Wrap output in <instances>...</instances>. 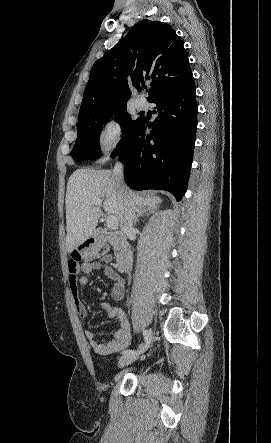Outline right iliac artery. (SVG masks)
Listing matches in <instances>:
<instances>
[{
  "instance_id": "1",
  "label": "right iliac artery",
  "mask_w": 271,
  "mask_h": 443,
  "mask_svg": "<svg viewBox=\"0 0 271 443\" xmlns=\"http://www.w3.org/2000/svg\"><path fill=\"white\" fill-rule=\"evenodd\" d=\"M143 336L145 339V345L141 349H138V350L127 349V350H123L122 353L124 355L125 354H137V353L140 354V353H143L145 350H147L148 347L150 346L152 338H151V335L146 330H143Z\"/></svg>"
}]
</instances>
